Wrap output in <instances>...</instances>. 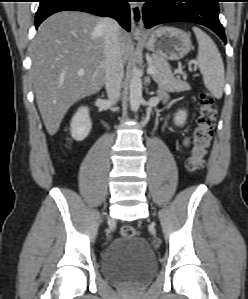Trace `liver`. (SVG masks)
Wrapping results in <instances>:
<instances>
[{
	"label": "liver",
	"instance_id": "1",
	"mask_svg": "<svg viewBox=\"0 0 248 299\" xmlns=\"http://www.w3.org/2000/svg\"><path fill=\"white\" fill-rule=\"evenodd\" d=\"M101 20L88 13L62 11L40 25L32 42L36 102L51 136L59 130L69 108L99 91L105 82L103 32L98 27ZM119 41L125 63L132 41L120 27Z\"/></svg>",
	"mask_w": 248,
	"mask_h": 299
}]
</instances>
